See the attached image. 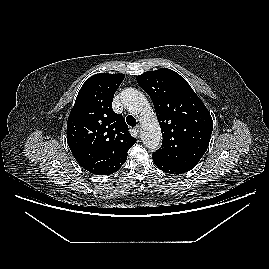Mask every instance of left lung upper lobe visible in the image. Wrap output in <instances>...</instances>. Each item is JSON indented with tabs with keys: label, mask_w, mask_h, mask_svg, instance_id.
Listing matches in <instances>:
<instances>
[{
	"label": "left lung upper lobe",
	"mask_w": 269,
	"mask_h": 269,
	"mask_svg": "<svg viewBox=\"0 0 269 269\" xmlns=\"http://www.w3.org/2000/svg\"><path fill=\"white\" fill-rule=\"evenodd\" d=\"M151 97L163 136L162 146L152 154L174 166L194 168L206 152L212 117L182 76L171 69L147 71L137 76Z\"/></svg>",
	"instance_id": "obj_1"
}]
</instances>
